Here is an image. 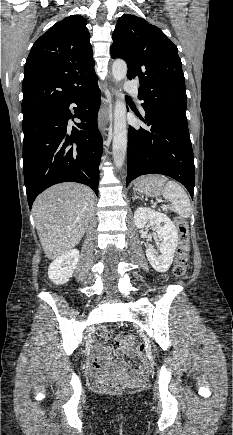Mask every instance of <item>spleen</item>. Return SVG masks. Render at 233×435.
I'll return each instance as SVG.
<instances>
[{"mask_svg":"<svg viewBox=\"0 0 233 435\" xmlns=\"http://www.w3.org/2000/svg\"><path fill=\"white\" fill-rule=\"evenodd\" d=\"M163 197L171 202V209L178 215L188 218L191 214V203L184 189L175 181H168Z\"/></svg>","mask_w":233,"mask_h":435,"instance_id":"spleen-1","label":"spleen"}]
</instances>
